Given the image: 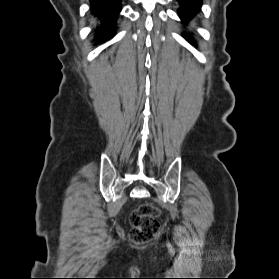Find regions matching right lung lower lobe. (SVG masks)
I'll list each match as a JSON object with an SVG mask.
<instances>
[{
	"instance_id": "obj_1",
	"label": "right lung lower lobe",
	"mask_w": 279,
	"mask_h": 279,
	"mask_svg": "<svg viewBox=\"0 0 279 279\" xmlns=\"http://www.w3.org/2000/svg\"><path fill=\"white\" fill-rule=\"evenodd\" d=\"M91 13L98 22L95 28L96 43L105 42L116 30L117 15L122 9L121 0H90Z\"/></svg>"
}]
</instances>
